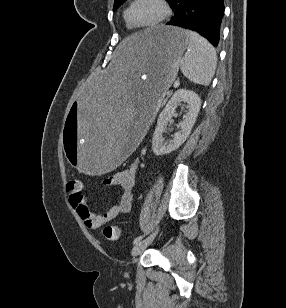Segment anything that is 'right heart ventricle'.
Masks as SVG:
<instances>
[{
    "instance_id": "obj_1",
    "label": "right heart ventricle",
    "mask_w": 286,
    "mask_h": 308,
    "mask_svg": "<svg viewBox=\"0 0 286 308\" xmlns=\"http://www.w3.org/2000/svg\"><path fill=\"white\" fill-rule=\"evenodd\" d=\"M124 18H125V16H124ZM126 27L128 28V29H131V27L126 23Z\"/></svg>"
}]
</instances>
